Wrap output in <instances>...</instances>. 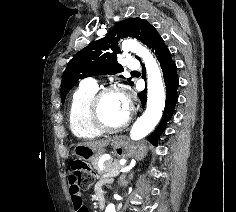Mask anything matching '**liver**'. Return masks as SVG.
Segmentation results:
<instances>
[{"label": "liver", "mask_w": 236, "mask_h": 212, "mask_svg": "<svg viewBox=\"0 0 236 212\" xmlns=\"http://www.w3.org/2000/svg\"><path fill=\"white\" fill-rule=\"evenodd\" d=\"M110 139H105V140H96V141H86L82 142L79 145H85L88 147H91L94 150H101L104 147H106L110 143Z\"/></svg>", "instance_id": "liver-1"}]
</instances>
